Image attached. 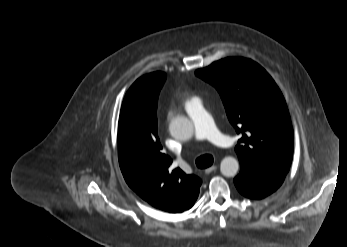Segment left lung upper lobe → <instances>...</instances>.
Returning <instances> with one entry per match:
<instances>
[{
  "label": "left lung upper lobe",
  "instance_id": "obj_1",
  "mask_svg": "<svg viewBox=\"0 0 347 247\" xmlns=\"http://www.w3.org/2000/svg\"><path fill=\"white\" fill-rule=\"evenodd\" d=\"M196 75L219 92L230 123L241 134L236 147L241 168L287 174L293 157V129L284 97L256 62L232 57Z\"/></svg>",
  "mask_w": 347,
  "mask_h": 247
}]
</instances>
